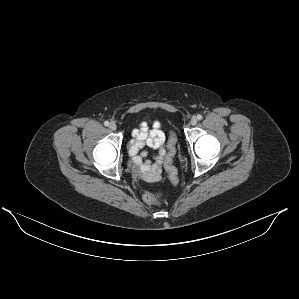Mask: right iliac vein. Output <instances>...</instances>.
Masks as SVG:
<instances>
[{"label":"right iliac vein","instance_id":"63e3f726","mask_svg":"<svg viewBox=\"0 0 299 299\" xmlns=\"http://www.w3.org/2000/svg\"><path fill=\"white\" fill-rule=\"evenodd\" d=\"M109 128H110L112 131H114V130L117 129V125H116L114 122H111V123L109 124Z\"/></svg>","mask_w":299,"mask_h":299}]
</instances>
